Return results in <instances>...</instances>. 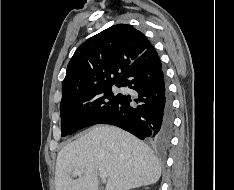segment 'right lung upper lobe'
Listing matches in <instances>:
<instances>
[{
  "label": "right lung upper lobe",
  "mask_w": 234,
  "mask_h": 190,
  "mask_svg": "<svg viewBox=\"0 0 234 190\" xmlns=\"http://www.w3.org/2000/svg\"><path fill=\"white\" fill-rule=\"evenodd\" d=\"M150 46L143 33L127 24L111 26L91 37L68 64L61 103L117 84L125 69Z\"/></svg>",
  "instance_id": "right-lung-upper-lobe-1"
}]
</instances>
